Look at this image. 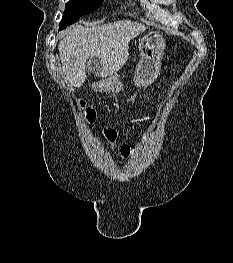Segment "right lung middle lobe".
<instances>
[{
  "instance_id": "dd1d6c3e",
  "label": "right lung middle lobe",
  "mask_w": 233,
  "mask_h": 263,
  "mask_svg": "<svg viewBox=\"0 0 233 263\" xmlns=\"http://www.w3.org/2000/svg\"><path fill=\"white\" fill-rule=\"evenodd\" d=\"M103 0H70L63 13L59 29L73 24L81 15L95 11Z\"/></svg>"
}]
</instances>
